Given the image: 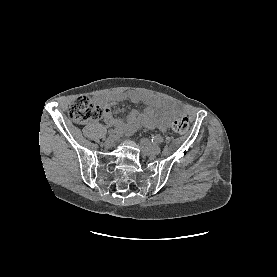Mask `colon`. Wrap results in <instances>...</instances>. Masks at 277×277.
Segmentation results:
<instances>
[{
  "label": "colon",
  "instance_id": "colon-1",
  "mask_svg": "<svg viewBox=\"0 0 277 277\" xmlns=\"http://www.w3.org/2000/svg\"><path fill=\"white\" fill-rule=\"evenodd\" d=\"M107 113V108L103 105L92 102L88 97L76 98L68 109L69 117L77 123H86L101 119ZM189 119L179 117L171 125V130L175 134H184L189 129Z\"/></svg>",
  "mask_w": 277,
  "mask_h": 277
}]
</instances>
